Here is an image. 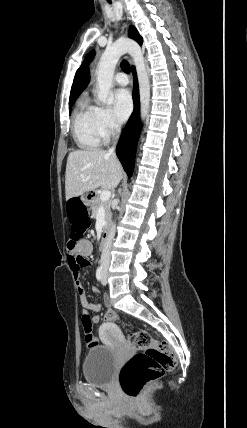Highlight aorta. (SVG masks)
<instances>
[{
    "instance_id": "762f6f07",
    "label": "aorta",
    "mask_w": 247,
    "mask_h": 428,
    "mask_svg": "<svg viewBox=\"0 0 247 428\" xmlns=\"http://www.w3.org/2000/svg\"><path fill=\"white\" fill-rule=\"evenodd\" d=\"M130 54L134 60V65L137 70L139 94H140V110L141 118L145 120L149 102H150V84L149 77L146 71L144 58L139 48L130 50ZM122 55V50L117 46H111L102 54L96 69L97 75V99L102 104H110L112 98L110 97V89L112 86L113 74L116 64Z\"/></svg>"
}]
</instances>
